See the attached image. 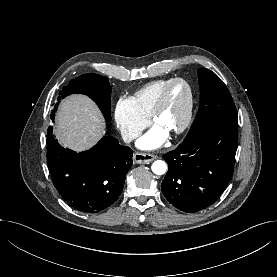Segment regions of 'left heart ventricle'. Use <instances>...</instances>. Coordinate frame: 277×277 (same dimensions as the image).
Wrapping results in <instances>:
<instances>
[{"label": "left heart ventricle", "mask_w": 277, "mask_h": 277, "mask_svg": "<svg viewBox=\"0 0 277 277\" xmlns=\"http://www.w3.org/2000/svg\"><path fill=\"white\" fill-rule=\"evenodd\" d=\"M187 96L185 85L175 84L169 91L165 107L156 120V126L168 134L177 129L184 117Z\"/></svg>", "instance_id": "1"}]
</instances>
